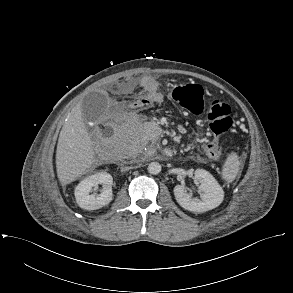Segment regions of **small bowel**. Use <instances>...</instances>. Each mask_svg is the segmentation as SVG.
Segmentation results:
<instances>
[{"instance_id":"obj_1","label":"small bowel","mask_w":293,"mask_h":293,"mask_svg":"<svg viewBox=\"0 0 293 293\" xmlns=\"http://www.w3.org/2000/svg\"><path fill=\"white\" fill-rule=\"evenodd\" d=\"M130 90H143L154 103H161L163 97L159 92V84L151 75H143L139 78H131L127 81Z\"/></svg>"}]
</instances>
